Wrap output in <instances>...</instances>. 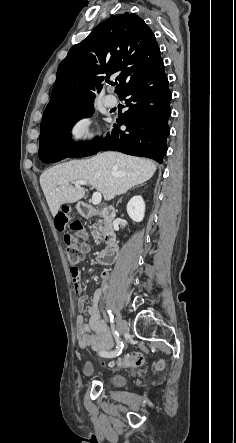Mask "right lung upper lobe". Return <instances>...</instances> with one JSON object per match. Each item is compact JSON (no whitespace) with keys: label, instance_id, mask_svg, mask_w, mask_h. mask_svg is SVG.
<instances>
[{"label":"right lung upper lobe","instance_id":"1","mask_svg":"<svg viewBox=\"0 0 236 443\" xmlns=\"http://www.w3.org/2000/svg\"><path fill=\"white\" fill-rule=\"evenodd\" d=\"M160 59L155 35L140 17L128 12L110 17L60 63L42 120L92 103L104 81L111 84L107 79L113 74H118L119 95Z\"/></svg>","mask_w":236,"mask_h":443}]
</instances>
